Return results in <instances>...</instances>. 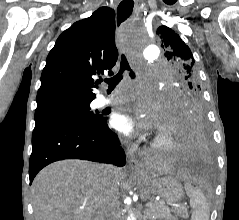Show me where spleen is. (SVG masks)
<instances>
[{"mask_svg": "<svg viewBox=\"0 0 239 220\" xmlns=\"http://www.w3.org/2000/svg\"><path fill=\"white\" fill-rule=\"evenodd\" d=\"M185 190L190 198V206L193 210L191 220H209L210 210L203 193L189 182L185 183Z\"/></svg>", "mask_w": 239, "mask_h": 220, "instance_id": "spleen-1", "label": "spleen"}]
</instances>
